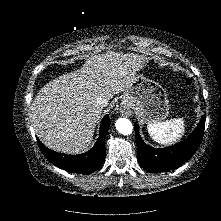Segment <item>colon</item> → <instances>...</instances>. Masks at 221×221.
<instances>
[{
  "instance_id": "colon-1",
  "label": "colon",
  "mask_w": 221,
  "mask_h": 221,
  "mask_svg": "<svg viewBox=\"0 0 221 221\" xmlns=\"http://www.w3.org/2000/svg\"><path fill=\"white\" fill-rule=\"evenodd\" d=\"M191 80L190 79H187L186 81H185V84L187 85V86H189V85H191Z\"/></svg>"
}]
</instances>
